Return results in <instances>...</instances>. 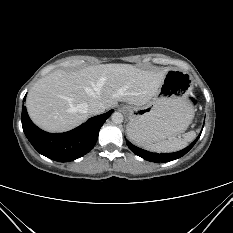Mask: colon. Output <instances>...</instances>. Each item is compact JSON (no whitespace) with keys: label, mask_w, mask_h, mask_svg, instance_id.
Listing matches in <instances>:
<instances>
[{"label":"colon","mask_w":233,"mask_h":233,"mask_svg":"<svg viewBox=\"0 0 233 233\" xmlns=\"http://www.w3.org/2000/svg\"><path fill=\"white\" fill-rule=\"evenodd\" d=\"M192 101H193L194 103H196L195 99H192Z\"/></svg>","instance_id":"obj_1"}]
</instances>
